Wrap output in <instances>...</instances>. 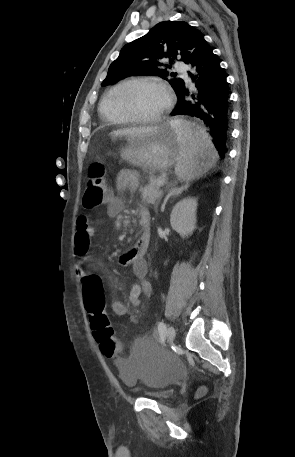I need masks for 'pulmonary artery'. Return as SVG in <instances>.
Returning a JSON list of instances; mask_svg holds the SVG:
<instances>
[{
    "mask_svg": "<svg viewBox=\"0 0 295 457\" xmlns=\"http://www.w3.org/2000/svg\"><path fill=\"white\" fill-rule=\"evenodd\" d=\"M176 68L177 70L182 74L183 78H185L186 80H188V75H187V72H186V67L180 63V62H177L176 63Z\"/></svg>",
    "mask_w": 295,
    "mask_h": 457,
    "instance_id": "e3ab8cb5",
    "label": "pulmonary artery"
}]
</instances>
